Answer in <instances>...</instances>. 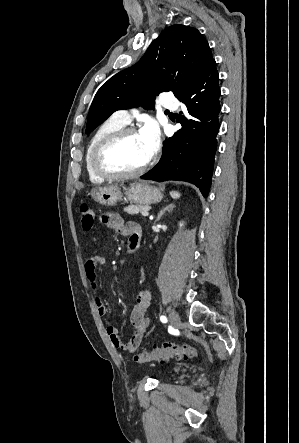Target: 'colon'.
Segmentation results:
<instances>
[{
    "label": "colon",
    "mask_w": 299,
    "mask_h": 443,
    "mask_svg": "<svg viewBox=\"0 0 299 443\" xmlns=\"http://www.w3.org/2000/svg\"><path fill=\"white\" fill-rule=\"evenodd\" d=\"M79 216L81 227L85 231H90L95 225V214L93 209L86 203L79 206ZM198 356V351L190 345H177L166 343L161 347L144 350L134 356L136 363H145L152 360L163 361L175 357L178 359H194Z\"/></svg>",
    "instance_id": "5ec220e1"
}]
</instances>
